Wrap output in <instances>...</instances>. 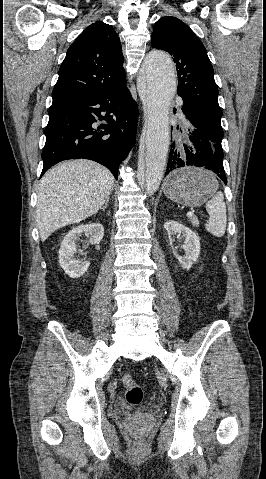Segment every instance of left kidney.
<instances>
[{
	"label": "left kidney",
	"instance_id": "1",
	"mask_svg": "<svg viewBox=\"0 0 266 479\" xmlns=\"http://www.w3.org/2000/svg\"><path fill=\"white\" fill-rule=\"evenodd\" d=\"M168 233L170 242L173 234H182L185 238L183 249L185 256L180 258V264L183 269L189 270L194 262L197 261L200 254V240L198 236L188 227L179 222L169 220L164 224Z\"/></svg>",
	"mask_w": 266,
	"mask_h": 479
}]
</instances>
